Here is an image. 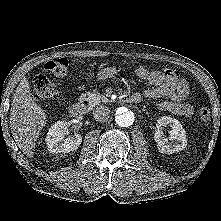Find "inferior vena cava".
Listing matches in <instances>:
<instances>
[{"instance_id":"602c4592","label":"inferior vena cava","mask_w":221,"mask_h":221,"mask_svg":"<svg viewBox=\"0 0 221 221\" xmlns=\"http://www.w3.org/2000/svg\"><path fill=\"white\" fill-rule=\"evenodd\" d=\"M93 116L99 122H107L110 118V109L105 105H99L93 110Z\"/></svg>"}]
</instances>
